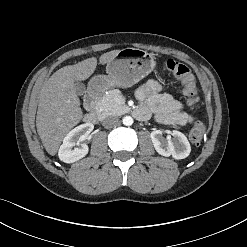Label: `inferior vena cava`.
I'll return each mask as SVG.
<instances>
[{"instance_id": "obj_1", "label": "inferior vena cava", "mask_w": 247, "mask_h": 247, "mask_svg": "<svg viewBox=\"0 0 247 247\" xmlns=\"http://www.w3.org/2000/svg\"><path fill=\"white\" fill-rule=\"evenodd\" d=\"M102 124L106 128H111L119 124V118L117 116H108L103 120Z\"/></svg>"}]
</instances>
